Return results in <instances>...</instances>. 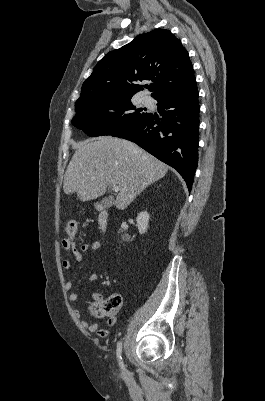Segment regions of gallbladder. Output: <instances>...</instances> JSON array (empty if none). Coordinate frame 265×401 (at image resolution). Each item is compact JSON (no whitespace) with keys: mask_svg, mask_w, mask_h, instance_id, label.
<instances>
[{"mask_svg":"<svg viewBox=\"0 0 265 401\" xmlns=\"http://www.w3.org/2000/svg\"><path fill=\"white\" fill-rule=\"evenodd\" d=\"M101 203L102 205H104V207H111L113 203V198H102Z\"/></svg>","mask_w":265,"mask_h":401,"instance_id":"gallbladder-1","label":"gallbladder"}]
</instances>
